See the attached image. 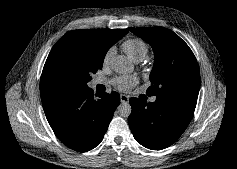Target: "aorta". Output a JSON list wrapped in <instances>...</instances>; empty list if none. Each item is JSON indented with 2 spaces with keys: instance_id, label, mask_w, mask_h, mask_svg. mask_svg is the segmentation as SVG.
<instances>
[{
  "instance_id": "762f6f07",
  "label": "aorta",
  "mask_w": 237,
  "mask_h": 169,
  "mask_svg": "<svg viewBox=\"0 0 237 169\" xmlns=\"http://www.w3.org/2000/svg\"><path fill=\"white\" fill-rule=\"evenodd\" d=\"M111 67L113 71L119 74L132 73L134 65L132 61L124 55H118L113 58ZM131 105L124 101L117 107V113L120 117L127 118L131 114Z\"/></svg>"
}]
</instances>
